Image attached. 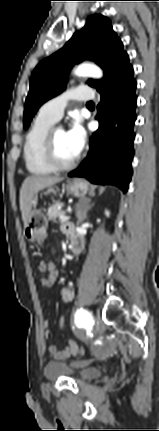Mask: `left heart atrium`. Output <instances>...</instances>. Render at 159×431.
Wrapping results in <instances>:
<instances>
[{"label": "left heart atrium", "instance_id": "left-heart-atrium-1", "mask_svg": "<svg viewBox=\"0 0 159 431\" xmlns=\"http://www.w3.org/2000/svg\"><path fill=\"white\" fill-rule=\"evenodd\" d=\"M66 139L71 149L79 155L85 144V131L79 122H74L70 129L65 132Z\"/></svg>", "mask_w": 159, "mask_h": 431}]
</instances>
